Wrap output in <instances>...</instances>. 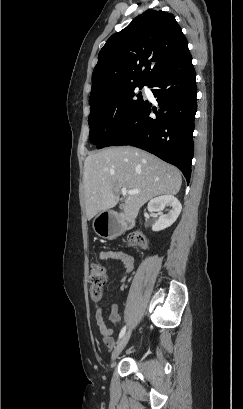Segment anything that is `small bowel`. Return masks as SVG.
<instances>
[{
  "label": "small bowel",
  "instance_id": "c3829d8e",
  "mask_svg": "<svg viewBox=\"0 0 243 409\" xmlns=\"http://www.w3.org/2000/svg\"><path fill=\"white\" fill-rule=\"evenodd\" d=\"M99 259L107 260V261H114L118 262L122 265L125 274H129L132 272L134 268L132 257L119 250H105L99 253ZM126 281V276L121 278V283ZM96 323L100 329V333L102 335L103 343L108 348H112L114 346V330L108 329L105 324L103 310L102 307H98L96 314ZM110 321L114 324V326H118L121 323V318L117 312L116 307H112L110 313Z\"/></svg>",
  "mask_w": 243,
  "mask_h": 409
}]
</instances>
